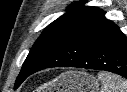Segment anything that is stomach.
I'll list each match as a JSON object with an SVG mask.
<instances>
[{
    "label": "stomach",
    "instance_id": "1",
    "mask_svg": "<svg viewBox=\"0 0 127 92\" xmlns=\"http://www.w3.org/2000/svg\"><path fill=\"white\" fill-rule=\"evenodd\" d=\"M99 86V80L84 71H66L52 82L56 92H96Z\"/></svg>",
    "mask_w": 127,
    "mask_h": 92
}]
</instances>
